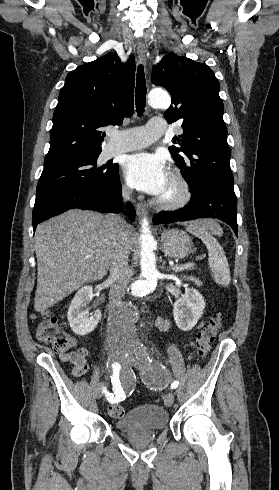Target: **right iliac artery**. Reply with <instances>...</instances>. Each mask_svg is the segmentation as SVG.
<instances>
[{"mask_svg":"<svg viewBox=\"0 0 279 490\" xmlns=\"http://www.w3.org/2000/svg\"><path fill=\"white\" fill-rule=\"evenodd\" d=\"M113 368V374L111 376V382L113 385V393H109L106 390V387L103 388L102 393H105V396L107 400L111 403L114 402H120L123 403L125 401V393H126V381L124 378H119V370H120V364L117 362H114L112 364Z\"/></svg>","mask_w":279,"mask_h":490,"instance_id":"obj_1","label":"right iliac artery"}]
</instances>
